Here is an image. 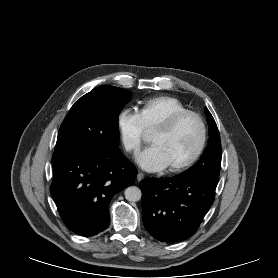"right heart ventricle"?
Returning a JSON list of instances; mask_svg holds the SVG:
<instances>
[{"mask_svg":"<svg viewBox=\"0 0 278 278\" xmlns=\"http://www.w3.org/2000/svg\"><path fill=\"white\" fill-rule=\"evenodd\" d=\"M188 111V108L177 98L157 96L140 102L138 113L146 130H152L173 115Z\"/></svg>","mask_w":278,"mask_h":278,"instance_id":"e07e8e85","label":"right heart ventricle"}]
</instances>
